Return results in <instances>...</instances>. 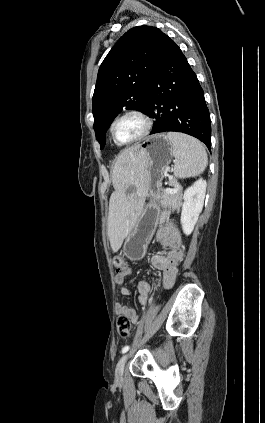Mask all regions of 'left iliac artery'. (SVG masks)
Returning a JSON list of instances; mask_svg holds the SVG:
<instances>
[{
  "label": "left iliac artery",
  "mask_w": 265,
  "mask_h": 423,
  "mask_svg": "<svg viewBox=\"0 0 265 423\" xmlns=\"http://www.w3.org/2000/svg\"><path fill=\"white\" fill-rule=\"evenodd\" d=\"M129 348H130V346H128V345L123 347L122 353H126L129 350Z\"/></svg>",
  "instance_id": "left-iliac-artery-1"
}]
</instances>
